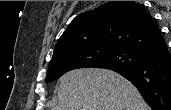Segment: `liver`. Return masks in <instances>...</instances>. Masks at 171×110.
<instances>
[{"instance_id":"1","label":"liver","mask_w":171,"mask_h":110,"mask_svg":"<svg viewBox=\"0 0 171 110\" xmlns=\"http://www.w3.org/2000/svg\"><path fill=\"white\" fill-rule=\"evenodd\" d=\"M53 110H150L138 90L114 71L75 69L59 79Z\"/></svg>"}]
</instances>
